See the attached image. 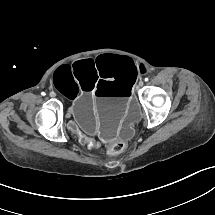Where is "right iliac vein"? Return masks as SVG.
Returning a JSON list of instances; mask_svg holds the SVG:
<instances>
[{
  "label": "right iliac vein",
  "instance_id": "right-iliac-vein-1",
  "mask_svg": "<svg viewBox=\"0 0 215 215\" xmlns=\"http://www.w3.org/2000/svg\"><path fill=\"white\" fill-rule=\"evenodd\" d=\"M50 97H55L56 96V93L54 91L50 92Z\"/></svg>",
  "mask_w": 215,
  "mask_h": 215
}]
</instances>
